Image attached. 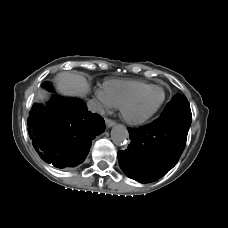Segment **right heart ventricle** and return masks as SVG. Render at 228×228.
Returning <instances> with one entry per match:
<instances>
[{"mask_svg":"<svg viewBox=\"0 0 228 228\" xmlns=\"http://www.w3.org/2000/svg\"><path fill=\"white\" fill-rule=\"evenodd\" d=\"M148 86L139 80H107L103 83V94L111 106L120 107L129 96Z\"/></svg>","mask_w":228,"mask_h":228,"instance_id":"right-heart-ventricle-1","label":"right heart ventricle"}]
</instances>
